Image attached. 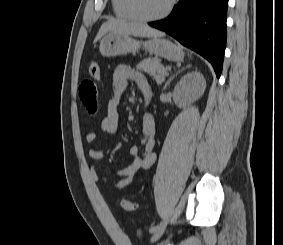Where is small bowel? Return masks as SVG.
<instances>
[{"instance_id": "obj_1", "label": "small bowel", "mask_w": 283, "mask_h": 245, "mask_svg": "<svg viewBox=\"0 0 283 245\" xmlns=\"http://www.w3.org/2000/svg\"><path fill=\"white\" fill-rule=\"evenodd\" d=\"M133 81L141 90L144 99L151 100L153 97V90L148 83L145 76L139 71L128 65H118L112 77V85L114 88V96L108 101L106 107V115L101 122V128L107 135H114L119 128V104L121 96L128 87L129 83ZM79 97L88 113L95 115L98 110V92L96 80L85 79L79 87ZM156 124L151 114L146 113L142 120V138L139 145H134L130 148L131 163L117 172L119 178L116 182L111 181L107 177H99L96 167L92 166L89 172V178L93 182H100L103 185L111 188L120 189L131 184L138 172L142 169L150 168L155 162V145ZM88 143H94L97 140V135L94 132L86 135ZM89 156L94 160H100L105 154L103 148L90 149Z\"/></svg>"}]
</instances>
